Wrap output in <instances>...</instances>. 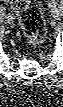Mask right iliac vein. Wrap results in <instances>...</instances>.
<instances>
[{
    "label": "right iliac vein",
    "instance_id": "1",
    "mask_svg": "<svg viewBox=\"0 0 63 107\" xmlns=\"http://www.w3.org/2000/svg\"><path fill=\"white\" fill-rule=\"evenodd\" d=\"M6 22L11 24L13 22V17L11 15L6 16Z\"/></svg>",
    "mask_w": 63,
    "mask_h": 107
}]
</instances>
